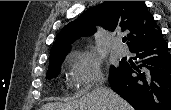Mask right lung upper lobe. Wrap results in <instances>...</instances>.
Segmentation results:
<instances>
[{
  "label": "right lung upper lobe",
  "instance_id": "obj_1",
  "mask_svg": "<svg viewBox=\"0 0 171 110\" xmlns=\"http://www.w3.org/2000/svg\"><path fill=\"white\" fill-rule=\"evenodd\" d=\"M95 21L110 31L116 28L128 31L129 49L161 34V29L143 1H105L88 9L74 22L63 27L51 48L50 60L66 55L70 44L80 36L94 33Z\"/></svg>",
  "mask_w": 171,
  "mask_h": 110
}]
</instances>
